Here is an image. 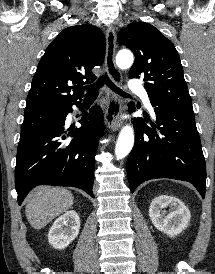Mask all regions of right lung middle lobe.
I'll use <instances>...</instances> for the list:
<instances>
[{"instance_id":"1","label":"right lung middle lobe","mask_w":215,"mask_h":274,"mask_svg":"<svg viewBox=\"0 0 215 274\" xmlns=\"http://www.w3.org/2000/svg\"><path fill=\"white\" fill-rule=\"evenodd\" d=\"M63 109L44 108L24 112L21 136H24L58 118Z\"/></svg>"}]
</instances>
